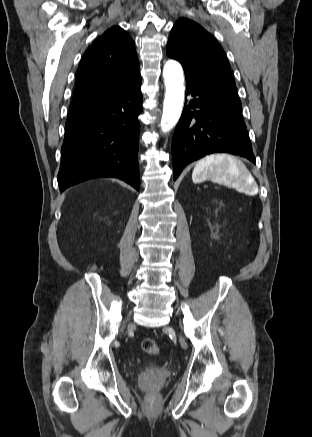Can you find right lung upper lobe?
Listing matches in <instances>:
<instances>
[{"label":"right lung upper lobe","mask_w":312,"mask_h":437,"mask_svg":"<svg viewBox=\"0 0 312 437\" xmlns=\"http://www.w3.org/2000/svg\"><path fill=\"white\" fill-rule=\"evenodd\" d=\"M139 76L133 40L120 27L108 29L88 47L80 61L69 114L106 100Z\"/></svg>","instance_id":"obj_1"}]
</instances>
